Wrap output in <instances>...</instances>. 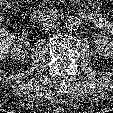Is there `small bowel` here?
Returning a JSON list of instances; mask_svg holds the SVG:
<instances>
[{"label": "small bowel", "instance_id": "1", "mask_svg": "<svg viewBox=\"0 0 113 113\" xmlns=\"http://www.w3.org/2000/svg\"><path fill=\"white\" fill-rule=\"evenodd\" d=\"M87 20L95 27L111 34L113 36V21H110L99 13H88Z\"/></svg>", "mask_w": 113, "mask_h": 113}]
</instances>
